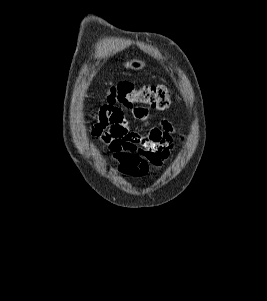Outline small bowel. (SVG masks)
I'll return each mask as SVG.
<instances>
[{"mask_svg":"<svg viewBox=\"0 0 267 301\" xmlns=\"http://www.w3.org/2000/svg\"><path fill=\"white\" fill-rule=\"evenodd\" d=\"M134 117L147 124L149 112L145 107L133 108ZM91 134L109 149L120 174L144 177L159 171L171 155L174 146L173 127L163 120L146 134L132 130L123 110L114 103L102 105L92 114Z\"/></svg>","mask_w":267,"mask_h":301,"instance_id":"small-bowel-1","label":"small bowel"}]
</instances>
